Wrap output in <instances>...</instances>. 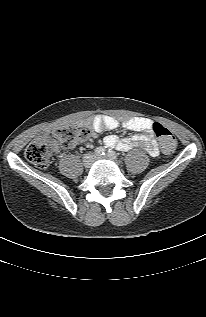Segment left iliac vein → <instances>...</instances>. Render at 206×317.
<instances>
[{
    "mask_svg": "<svg viewBox=\"0 0 206 317\" xmlns=\"http://www.w3.org/2000/svg\"><path fill=\"white\" fill-rule=\"evenodd\" d=\"M101 158H103V157H96V159H101Z\"/></svg>",
    "mask_w": 206,
    "mask_h": 317,
    "instance_id": "left-iliac-vein-1",
    "label": "left iliac vein"
}]
</instances>
